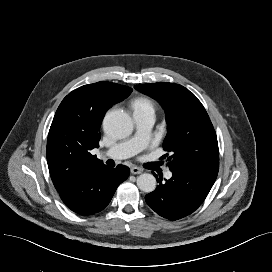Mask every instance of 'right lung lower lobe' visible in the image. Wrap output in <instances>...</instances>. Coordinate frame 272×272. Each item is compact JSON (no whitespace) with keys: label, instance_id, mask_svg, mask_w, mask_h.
<instances>
[{"label":"right lung lower lobe","instance_id":"1","mask_svg":"<svg viewBox=\"0 0 272 272\" xmlns=\"http://www.w3.org/2000/svg\"><path fill=\"white\" fill-rule=\"evenodd\" d=\"M123 165L116 168L104 166L87 174L81 182L60 194L64 204L80 215H92L103 210L112 199L117 187L129 176Z\"/></svg>","mask_w":272,"mask_h":272}]
</instances>
